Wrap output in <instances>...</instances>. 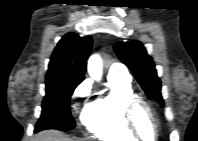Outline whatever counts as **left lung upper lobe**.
Segmentation results:
<instances>
[{"label": "left lung upper lobe", "mask_w": 198, "mask_h": 141, "mask_svg": "<svg viewBox=\"0 0 198 141\" xmlns=\"http://www.w3.org/2000/svg\"><path fill=\"white\" fill-rule=\"evenodd\" d=\"M114 49L120 60L134 73L148 98L156 99L163 105L160 79L157 76L153 60L148 56L141 42H117Z\"/></svg>", "instance_id": "1"}]
</instances>
